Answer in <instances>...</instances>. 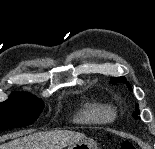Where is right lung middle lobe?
<instances>
[{"mask_svg":"<svg viewBox=\"0 0 155 149\" xmlns=\"http://www.w3.org/2000/svg\"><path fill=\"white\" fill-rule=\"evenodd\" d=\"M44 102L28 93L14 92L0 106V131L33 124Z\"/></svg>","mask_w":155,"mask_h":149,"instance_id":"obj_1","label":"right lung middle lobe"}]
</instances>
